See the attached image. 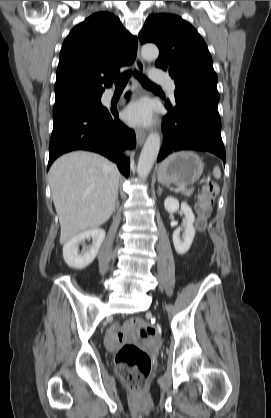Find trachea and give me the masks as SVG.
<instances>
[{
    "mask_svg": "<svg viewBox=\"0 0 271 418\" xmlns=\"http://www.w3.org/2000/svg\"><path fill=\"white\" fill-rule=\"evenodd\" d=\"M132 71H126L123 74H121L120 76L115 77L114 83L116 84V86H125L127 84V81L129 79V77L131 76ZM134 75L138 78V80L140 81V83L147 88H160L159 86L155 85L154 83H152L148 78H146L143 74L137 72L136 70H134Z\"/></svg>",
    "mask_w": 271,
    "mask_h": 418,
    "instance_id": "trachea-1",
    "label": "trachea"
}]
</instances>
